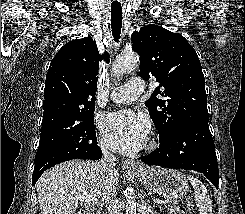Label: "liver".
I'll use <instances>...</instances> for the list:
<instances>
[{
  "instance_id": "1",
  "label": "liver",
  "mask_w": 245,
  "mask_h": 214,
  "mask_svg": "<svg viewBox=\"0 0 245 214\" xmlns=\"http://www.w3.org/2000/svg\"><path fill=\"white\" fill-rule=\"evenodd\" d=\"M119 173L101 171L93 161H68L46 171L36 184L41 214H74L77 195L107 199V189L116 188Z\"/></svg>"
}]
</instances>
